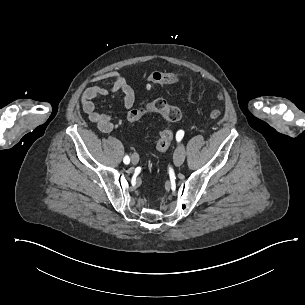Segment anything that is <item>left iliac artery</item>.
Listing matches in <instances>:
<instances>
[{"mask_svg": "<svg viewBox=\"0 0 305 305\" xmlns=\"http://www.w3.org/2000/svg\"><path fill=\"white\" fill-rule=\"evenodd\" d=\"M184 136V132L182 130L177 132L176 138L178 141H180Z\"/></svg>", "mask_w": 305, "mask_h": 305, "instance_id": "1", "label": "left iliac artery"}]
</instances>
